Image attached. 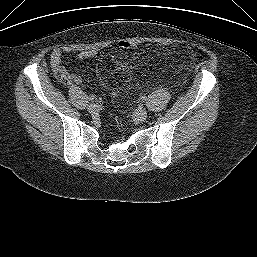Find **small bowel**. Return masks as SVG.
<instances>
[{
  "instance_id": "1",
  "label": "small bowel",
  "mask_w": 257,
  "mask_h": 257,
  "mask_svg": "<svg viewBox=\"0 0 257 257\" xmlns=\"http://www.w3.org/2000/svg\"><path fill=\"white\" fill-rule=\"evenodd\" d=\"M68 52L63 48H55L50 54V65L54 71H63L65 72L64 68L61 66V57L62 55ZM97 56V52L95 50H84L79 52L78 58L80 60L90 59ZM115 68L118 71L122 72H130L134 70L135 65L125 59H118L115 62ZM69 76V83L71 84H80L82 82V78L77 74H71Z\"/></svg>"
}]
</instances>
